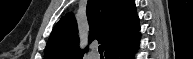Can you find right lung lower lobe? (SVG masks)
I'll return each mask as SVG.
<instances>
[{"label": "right lung lower lobe", "instance_id": "obj_1", "mask_svg": "<svg viewBox=\"0 0 193 59\" xmlns=\"http://www.w3.org/2000/svg\"><path fill=\"white\" fill-rule=\"evenodd\" d=\"M140 34L137 33L125 42L110 50L105 56L106 59H131V55L138 48Z\"/></svg>", "mask_w": 193, "mask_h": 59}]
</instances>
